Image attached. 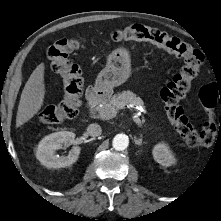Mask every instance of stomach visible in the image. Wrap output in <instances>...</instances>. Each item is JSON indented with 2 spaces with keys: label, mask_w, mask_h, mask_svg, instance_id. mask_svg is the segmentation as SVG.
Listing matches in <instances>:
<instances>
[{
  "label": "stomach",
  "mask_w": 221,
  "mask_h": 221,
  "mask_svg": "<svg viewBox=\"0 0 221 221\" xmlns=\"http://www.w3.org/2000/svg\"><path fill=\"white\" fill-rule=\"evenodd\" d=\"M130 74V55L124 48L112 51L106 67L98 74L95 86L101 91L111 92L112 88L124 83Z\"/></svg>",
  "instance_id": "1"
}]
</instances>
